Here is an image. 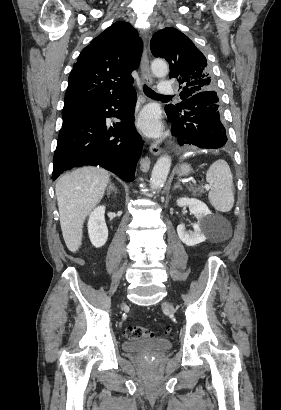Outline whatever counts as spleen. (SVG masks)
I'll use <instances>...</instances> for the list:
<instances>
[{
    "mask_svg": "<svg viewBox=\"0 0 281 410\" xmlns=\"http://www.w3.org/2000/svg\"><path fill=\"white\" fill-rule=\"evenodd\" d=\"M211 205L220 212H228L234 205L233 177L225 160L215 161L206 173Z\"/></svg>",
    "mask_w": 281,
    "mask_h": 410,
    "instance_id": "obj_1",
    "label": "spleen"
}]
</instances>
